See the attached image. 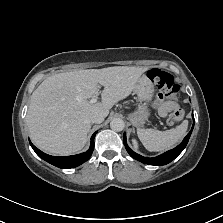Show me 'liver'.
<instances>
[{"instance_id":"1","label":"liver","mask_w":223,"mask_h":223,"mask_svg":"<svg viewBox=\"0 0 223 223\" xmlns=\"http://www.w3.org/2000/svg\"><path fill=\"white\" fill-rule=\"evenodd\" d=\"M148 67L115 66L64 72L46 78L31 95L25 118L33 143L41 150L58 155L80 151L91 128L90 114L104 117L115 103L134 90ZM101 102L90 103L99 95Z\"/></svg>"}]
</instances>
